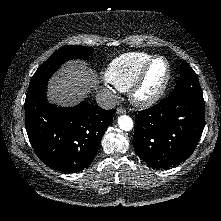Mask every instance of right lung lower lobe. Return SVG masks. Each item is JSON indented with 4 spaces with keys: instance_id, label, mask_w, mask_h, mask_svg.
I'll return each mask as SVG.
<instances>
[{
    "instance_id": "1",
    "label": "right lung lower lobe",
    "mask_w": 221,
    "mask_h": 221,
    "mask_svg": "<svg viewBox=\"0 0 221 221\" xmlns=\"http://www.w3.org/2000/svg\"><path fill=\"white\" fill-rule=\"evenodd\" d=\"M47 84L26 96L25 123L37 156L48 167L61 172H78L87 167L116 110H103L81 102L71 108L49 104Z\"/></svg>"
}]
</instances>
